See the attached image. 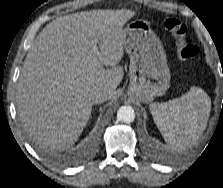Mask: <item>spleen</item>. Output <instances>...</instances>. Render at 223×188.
I'll return each mask as SVG.
<instances>
[{
    "instance_id": "obj_1",
    "label": "spleen",
    "mask_w": 223,
    "mask_h": 188,
    "mask_svg": "<svg viewBox=\"0 0 223 188\" xmlns=\"http://www.w3.org/2000/svg\"><path fill=\"white\" fill-rule=\"evenodd\" d=\"M154 122L168 145L183 150L204 132L211 100L203 89L191 87L179 98L150 104Z\"/></svg>"
}]
</instances>
